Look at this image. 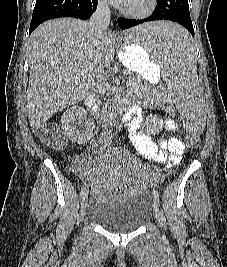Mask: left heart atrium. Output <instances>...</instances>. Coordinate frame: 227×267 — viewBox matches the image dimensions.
<instances>
[{
	"instance_id": "1",
	"label": "left heart atrium",
	"mask_w": 227,
	"mask_h": 267,
	"mask_svg": "<svg viewBox=\"0 0 227 267\" xmlns=\"http://www.w3.org/2000/svg\"><path fill=\"white\" fill-rule=\"evenodd\" d=\"M109 1L116 5L126 7L131 0H109Z\"/></svg>"
}]
</instances>
